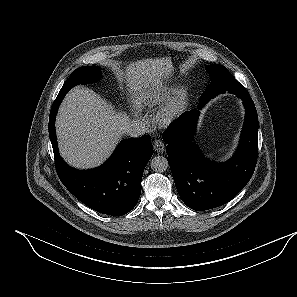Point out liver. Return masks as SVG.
I'll return each mask as SVG.
<instances>
[{
    "label": "liver",
    "instance_id": "1",
    "mask_svg": "<svg viewBox=\"0 0 297 297\" xmlns=\"http://www.w3.org/2000/svg\"><path fill=\"white\" fill-rule=\"evenodd\" d=\"M169 58L131 62L118 72L125 76L134 96L151 84L159 86L164 73L171 71ZM130 123L102 98L84 87L73 88L60 105L56 118L59 151L72 167L89 169L101 164L112 152Z\"/></svg>",
    "mask_w": 297,
    "mask_h": 297
}]
</instances>
